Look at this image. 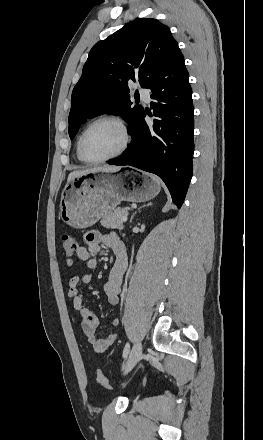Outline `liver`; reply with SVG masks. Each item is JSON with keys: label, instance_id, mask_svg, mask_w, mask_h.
<instances>
[{"label": "liver", "instance_id": "6515ba94", "mask_svg": "<svg viewBox=\"0 0 263 440\" xmlns=\"http://www.w3.org/2000/svg\"><path fill=\"white\" fill-rule=\"evenodd\" d=\"M118 170H119V167L110 166V165L98 166V167H93L90 169L77 170V171H73L69 174L68 181L72 178L79 177L81 175H86V174L93 173V172L113 173Z\"/></svg>", "mask_w": 263, "mask_h": 440}]
</instances>
